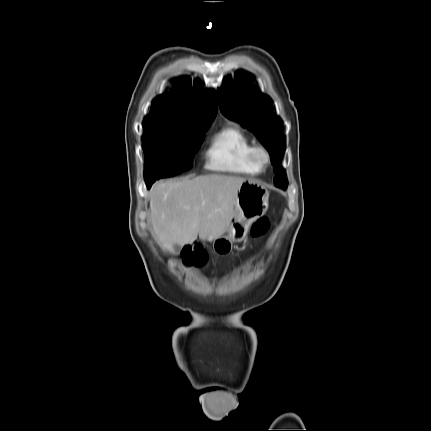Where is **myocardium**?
I'll list each match as a JSON object with an SVG mask.
<instances>
[{"mask_svg": "<svg viewBox=\"0 0 431 431\" xmlns=\"http://www.w3.org/2000/svg\"><path fill=\"white\" fill-rule=\"evenodd\" d=\"M249 156L251 161L261 169L268 166L271 161L270 152L263 145H253Z\"/></svg>", "mask_w": 431, "mask_h": 431, "instance_id": "1", "label": "myocardium"}]
</instances>
